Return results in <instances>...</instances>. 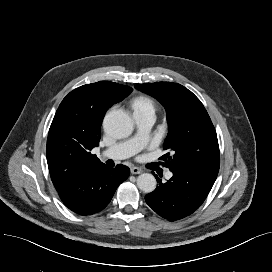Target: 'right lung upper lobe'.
<instances>
[{
  "label": "right lung upper lobe",
  "mask_w": 272,
  "mask_h": 272,
  "mask_svg": "<svg viewBox=\"0 0 272 272\" xmlns=\"http://www.w3.org/2000/svg\"><path fill=\"white\" fill-rule=\"evenodd\" d=\"M133 89L108 81L86 84L61 102L49 129L47 163L59 192L73 187L103 164L91 150L99 145L105 112Z\"/></svg>",
  "instance_id": "cb5924a9"
}]
</instances>
